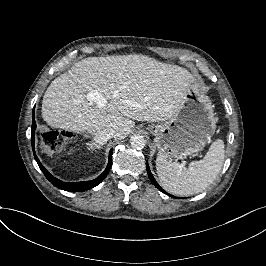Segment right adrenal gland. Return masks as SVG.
<instances>
[{
  "mask_svg": "<svg viewBox=\"0 0 266 266\" xmlns=\"http://www.w3.org/2000/svg\"><path fill=\"white\" fill-rule=\"evenodd\" d=\"M89 147H90V150L91 152H96V149H102L103 147L102 146H99L97 144H95L94 142H90L89 144Z\"/></svg>",
  "mask_w": 266,
  "mask_h": 266,
  "instance_id": "right-adrenal-gland-1",
  "label": "right adrenal gland"
}]
</instances>
